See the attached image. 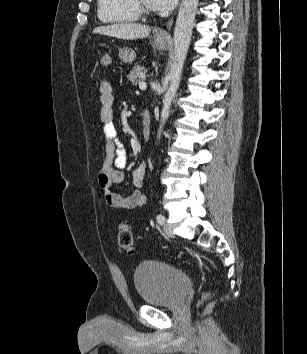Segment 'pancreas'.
Instances as JSON below:
<instances>
[{"instance_id":"pancreas-1","label":"pancreas","mask_w":307,"mask_h":354,"mask_svg":"<svg viewBox=\"0 0 307 354\" xmlns=\"http://www.w3.org/2000/svg\"><path fill=\"white\" fill-rule=\"evenodd\" d=\"M147 70L142 66H135L127 76L133 85H137L141 80L145 79Z\"/></svg>"}]
</instances>
